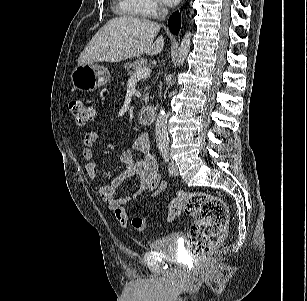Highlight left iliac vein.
Returning <instances> with one entry per match:
<instances>
[{
    "instance_id": "4c4485c4",
    "label": "left iliac vein",
    "mask_w": 307,
    "mask_h": 301,
    "mask_svg": "<svg viewBox=\"0 0 307 301\" xmlns=\"http://www.w3.org/2000/svg\"><path fill=\"white\" fill-rule=\"evenodd\" d=\"M169 173L173 176H178L179 174L177 164L174 161L169 162Z\"/></svg>"
}]
</instances>
